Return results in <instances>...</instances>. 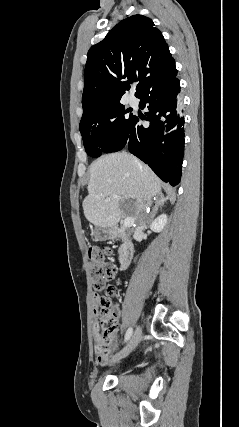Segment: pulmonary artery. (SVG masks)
Here are the masks:
<instances>
[{
  "instance_id": "1",
  "label": "pulmonary artery",
  "mask_w": 239,
  "mask_h": 427,
  "mask_svg": "<svg viewBox=\"0 0 239 427\" xmlns=\"http://www.w3.org/2000/svg\"><path fill=\"white\" fill-rule=\"evenodd\" d=\"M128 102H129L131 105H134V104L136 103V99H135V97H134V96H130V97L128 98Z\"/></svg>"
}]
</instances>
